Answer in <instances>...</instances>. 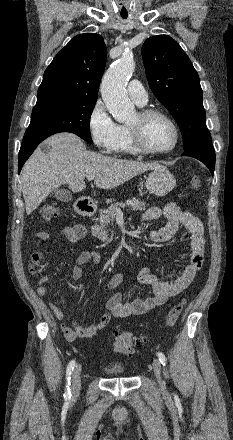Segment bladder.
<instances>
[{"instance_id":"31cf9c89","label":"bladder","mask_w":233,"mask_h":440,"mask_svg":"<svg viewBox=\"0 0 233 440\" xmlns=\"http://www.w3.org/2000/svg\"><path fill=\"white\" fill-rule=\"evenodd\" d=\"M108 374L112 376H124L125 370L121 366H110L108 368Z\"/></svg>"}]
</instances>
